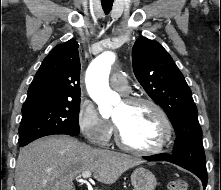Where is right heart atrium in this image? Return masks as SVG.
I'll list each match as a JSON object with an SVG mask.
<instances>
[{"label":"right heart atrium","instance_id":"obj_1","mask_svg":"<svg viewBox=\"0 0 221 190\" xmlns=\"http://www.w3.org/2000/svg\"><path fill=\"white\" fill-rule=\"evenodd\" d=\"M77 123L80 131L92 144L100 147L109 144L113 135V126L99 114L91 102L87 100L81 102L77 114Z\"/></svg>","mask_w":221,"mask_h":190}]
</instances>
